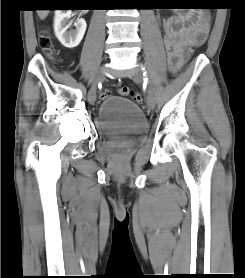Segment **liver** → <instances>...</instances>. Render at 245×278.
<instances>
[{
  "label": "liver",
  "mask_w": 245,
  "mask_h": 278,
  "mask_svg": "<svg viewBox=\"0 0 245 278\" xmlns=\"http://www.w3.org/2000/svg\"><path fill=\"white\" fill-rule=\"evenodd\" d=\"M37 14L41 20H44L49 14V10H37Z\"/></svg>",
  "instance_id": "liver-1"
}]
</instances>
